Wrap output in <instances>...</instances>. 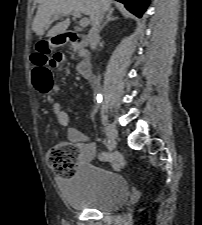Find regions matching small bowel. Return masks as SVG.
<instances>
[{
	"instance_id": "small-bowel-1",
	"label": "small bowel",
	"mask_w": 202,
	"mask_h": 225,
	"mask_svg": "<svg viewBox=\"0 0 202 225\" xmlns=\"http://www.w3.org/2000/svg\"><path fill=\"white\" fill-rule=\"evenodd\" d=\"M30 61L35 64V56H31ZM51 110L55 115L57 122L68 129V137L70 140L77 145L79 149V163H90L95 156V143L77 128L70 126L69 114L62 109L59 100L55 99L51 102ZM100 159L105 161V156Z\"/></svg>"
}]
</instances>
